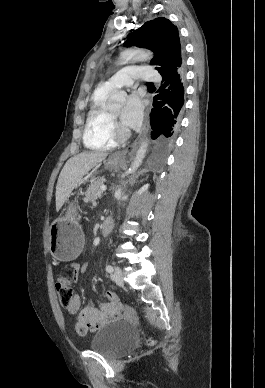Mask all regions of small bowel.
Returning a JSON list of instances; mask_svg holds the SVG:
<instances>
[{"mask_svg":"<svg viewBox=\"0 0 265 388\" xmlns=\"http://www.w3.org/2000/svg\"><path fill=\"white\" fill-rule=\"evenodd\" d=\"M72 276L76 280L80 271V265L71 264ZM68 312L77 315L75 330L79 335L99 330L103 325L114 321L120 316V306L113 303L88 304L81 307L80 299L77 295L72 298L71 304L67 307Z\"/></svg>","mask_w":265,"mask_h":388,"instance_id":"1","label":"small bowel"}]
</instances>
